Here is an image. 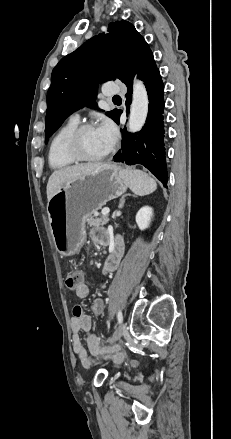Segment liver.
<instances>
[{"label":"liver","instance_id":"obj_1","mask_svg":"<svg viewBox=\"0 0 231 439\" xmlns=\"http://www.w3.org/2000/svg\"><path fill=\"white\" fill-rule=\"evenodd\" d=\"M101 165H103V163H84L55 170L49 177L47 183L48 202L63 185L78 177L92 173Z\"/></svg>","mask_w":231,"mask_h":439}]
</instances>
